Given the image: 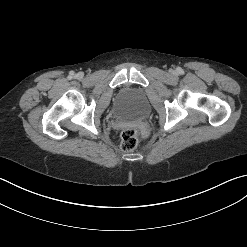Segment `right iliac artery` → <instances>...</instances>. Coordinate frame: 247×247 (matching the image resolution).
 Listing matches in <instances>:
<instances>
[{
  "instance_id": "1",
  "label": "right iliac artery",
  "mask_w": 247,
  "mask_h": 247,
  "mask_svg": "<svg viewBox=\"0 0 247 247\" xmlns=\"http://www.w3.org/2000/svg\"><path fill=\"white\" fill-rule=\"evenodd\" d=\"M74 76V72L70 73V78H72Z\"/></svg>"
}]
</instances>
